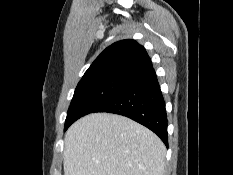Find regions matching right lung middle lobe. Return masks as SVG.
<instances>
[{"label": "right lung middle lobe", "mask_w": 233, "mask_h": 175, "mask_svg": "<svg viewBox=\"0 0 233 175\" xmlns=\"http://www.w3.org/2000/svg\"><path fill=\"white\" fill-rule=\"evenodd\" d=\"M133 78L122 75H107L81 80L71 101L65 128L80 117L94 112L97 108L116 96Z\"/></svg>", "instance_id": "right-lung-middle-lobe-1"}]
</instances>
